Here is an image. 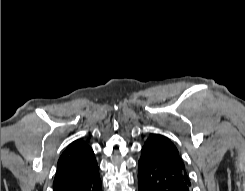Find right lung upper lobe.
<instances>
[{"label": "right lung upper lobe", "mask_w": 245, "mask_h": 191, "mask_svg": "<svg viewBox=\"0 0 245 191\" xmlns=\"http://www.w3.org/2000/svg\"><path fill=\"white\" fill-rule=\"evenodd\" d=\"M96 165L93 150L84 141L73 142L58 160L54 188L88 173Z\"/></svg>", "instance_id": "obj_1"}]
</instances>
